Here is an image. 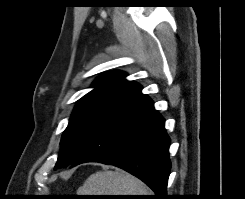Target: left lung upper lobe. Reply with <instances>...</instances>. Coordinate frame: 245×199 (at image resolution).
<instances>
[{"instance_id":"1","label":"left lung upper lobe","mask_w":245,"mask_h":199,"mask_svg":"<svg viewBox=\"0 0 245 199\" xmlns=\"http://www.w3.org/2000/svg\"><path fill=\"white\" fill-rule=\"evenodd\" d=\"M125 77L120 71L105 73L92 84L96 88L78 100L62 135L55 168L72 164L109 121L143 95L142 87Z\"/></svg>"}]
</instances>
